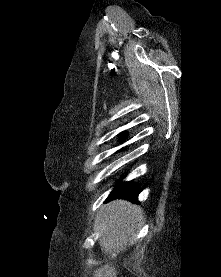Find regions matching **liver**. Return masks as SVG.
<instances>
[{
	"instance_id": "6515ba94",
	"label": "liver",
	"mask_w": 221,
	"mask_h": 277,
	"mask_svg": "<svg viewBox=\"0 0 221 277\" xmlns=\"http://www.w3.org/2000/svg\"><path fill=\"white\" fill-rule=\"evenodd\" d=\"M102 235L99 238L101 250L105 254L123 251L137 229L143 224V211L136 205L123 200H115L101 208L99 215ZM117 270L111 263L99 267L93 277H116Z\"/></svg>"
}]
</instances>
